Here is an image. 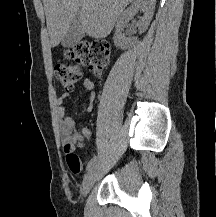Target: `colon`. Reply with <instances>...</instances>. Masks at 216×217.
<instances>
[{
  "mask_svg": "<svg viewBox=\"0 0 216 217\" xmlns=\"http://www.w3.org/2000/svg\"><path fill=\"white\" fill-rule=\"evenodd\" d=\"M66 57L75 61V64L57 63L54 66V76L65 88L70 89L80 79L83 67L95 75L102 74L110 59V45L102 40L82 41L68 50ZM66 153L69 168L74 173H79L81 162L78 155L73 149Z\"/></svg>",
  "mask_w": 216,
  "mask_h": 217,
  "instance_id": "colon-1",
  "label": "colon"
}]
</instances>
